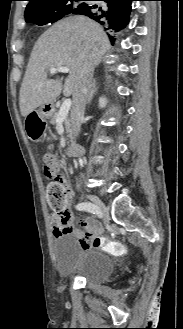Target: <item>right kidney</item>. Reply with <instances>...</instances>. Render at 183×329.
Returning <instances> with one entry per match:
<instances>
[{
    "label": "right kidney",
    "mask_w": 183,
    "mask_h": 329,
    "mask_svg": "<svg viewBox=\"0 0 183 329\" xmlns=\"http://www.w3.org/2000/svg\"><path fill=\"white\" fill-rule=\"evenodd\" d=\"M106 104H107L106 98L105 97H100V99H99V107L100 108H104L106 106Z\"/></svg>",
    "instance_id": "obj_1"
}]
</instances>
